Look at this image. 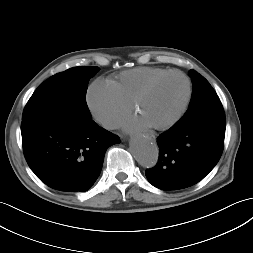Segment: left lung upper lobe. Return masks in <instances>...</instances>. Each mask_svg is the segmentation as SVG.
<instances>
[{
  "mask_svg": "<svg viewBox=\"0 0 253 253\" xmlns=\"http://www.w3.org/2000/svg\"><path fill=\"white\" fill-rule=\"evenodd\" d=\"M193 93L189 108L181 121H195L207 117H225L221 101L209 82L194 70H190Z\"/></svg>",
  "mask_w": 253,
  "mask_h": 253,
  "instance_id": "5c2ea615",
  "label": "left lung upper lobe"
}]
</instances>
